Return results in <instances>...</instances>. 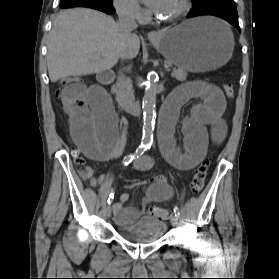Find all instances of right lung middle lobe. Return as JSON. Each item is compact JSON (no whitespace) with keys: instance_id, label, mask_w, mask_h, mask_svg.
<instances>
[{"instance_id":"dd1d6c3e","label":"right lung middle lobe","mask_w":279,"mask_h":279,"mask_svg":"<svg viewBox=\"0 0 279 279\" xmlns=\"http://www.w3.org/2000/svg\"><path fill=\"white\" fill-rule=\"evenodd\" d=\"M102 1L105 2V3L112 4V0H102Z\"/></svg>"}]
</instances>
